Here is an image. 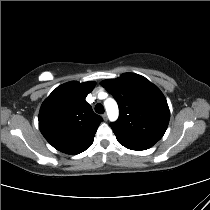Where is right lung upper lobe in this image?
<instances>
[{"label": "right lung upper lobe", "instance_id": "obj_1", "mask_svg": "<svg viewBox=\"0 0 210 210\" xmlns=\"http://www.w3.org/2000/svg\"><path fill=\"white\" fill-rule=\"evenodd\" d=\"M95 82H68L57 87L43 102L39 128L45 139L66 154H79L93 143L102 117L85 101Z\"/></svg>", "mask_w": 210, "mask_h": 210}]
</instances>
